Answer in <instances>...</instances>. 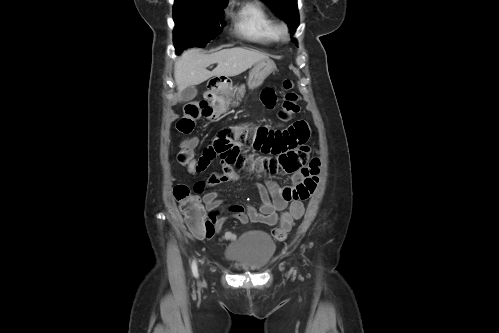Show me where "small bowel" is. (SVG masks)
I'll return each instance as SVG.
<instances>
[{
    "mask_svg": "<svg viewBox=\"0 0 499 333\" xmlns=\"http://www.w3.org/2000/svg\"><path fill=\"white\" fill-rule=\"evenodd\" d=\"M266 107L275 105L276 97L272 89L262 93ZM311 129L305 120H297L283 129L266 126H230L220 130L212 143L203 150L197 162V173L205 171L210 163L219 158L221 173H212L194 186L195 193H202L203 203L209 213L221 241L234 242L237 236L223 232V226L229 219L242 224L249 221L268 226L279 222V212L284 211L289 203L308 199L315 191L320 161L311 155L307 142ZM259 152L263 157L254 159L247 150ZM241 170L258 171L269 177L266 184H257L259 193L258 207L250 204H232L227 207L226 215H219L221 199L215 186L225 182H237L241 179ZM289 175V183L279 185L270 179V175Z\"/></svg>",
    "mask_w": 499,
    "mask_h": 333,
    "instance_id": "small-bowel-1",
    "label": "small bowel"
}]
</instances>
